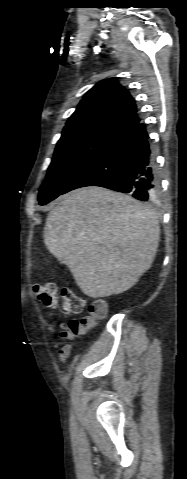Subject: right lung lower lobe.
<instances>
[{
	"label": "right lung lower lobe",
	"instance_id": "right-lung-lower-lobe-1",
	"mask_svg": "<svg viewBox=\"0 0 187 479\" xmlns=\"http://www.w3.org/2000/svg\"><path fill=\"white\" fill-rule=\"evenodd\" d=\"M85 186L131 193L142 201H152L159 196V172L144 124L138 122L125 132L77 174L61 194Z\"/></svg>",
	"mask_w": 187,
	"mask_h": 479
}]
</instances>
